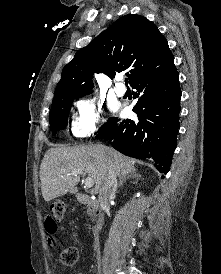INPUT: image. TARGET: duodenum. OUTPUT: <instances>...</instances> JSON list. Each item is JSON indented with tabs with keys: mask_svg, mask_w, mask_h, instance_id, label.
Here are the masks:
<instances>
[{
	"mask_svg": "<svg viewBox=\"0 0 221 274\" xmlns=\"http://www.w3.org/2000/svg\"><path fill=\"white\" fill-rule=\"evenodd\" d=\"M78 200L93 211L98 209V201L88 194L79 193Z\"/></svg>",
	"mask_w": 221,
	"mask_h": 274,
	"instance_id": "410a0bca",
	"label": "duodenum"
}]
</instances>
